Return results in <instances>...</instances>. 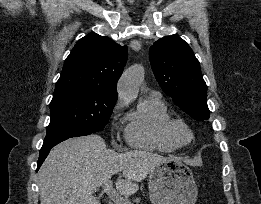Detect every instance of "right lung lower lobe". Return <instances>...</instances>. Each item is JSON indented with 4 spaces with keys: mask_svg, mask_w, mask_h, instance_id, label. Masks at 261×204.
<instances>
[{
    "mask_svg": "<svg viewBox=\"0 0 261 204\" xmlns=\"http://www.w3.org/2000/svg\"><path fill=\"white\" fill-rule=\"evenodd\" d=\"M91 133H81V134H76V135H64V136H59V137H55L49 140H44L43 146L40 149V156L38 159V167L37 170L40 168V166L42 165V163L44 162L45 158L47 157L48 153L50 152V150L57 145L58 143L70 138V137H77V136H85V135H89Z\"/></svg>",
    "mask_w": 261,
    "mask_h": 204,
    "instance_id": "right-lung-lower-lobe-1",
    "label": "right lung lower lobe"
}]
</instances>
